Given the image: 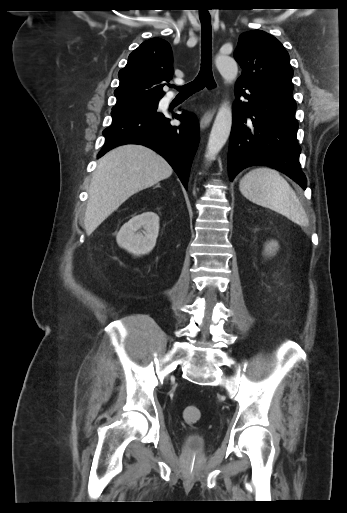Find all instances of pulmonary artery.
<instances>
[{
	"mask_svg": "<svg viewBox=\"0 0 347 513\" xmlns=\"http://www.w3.org/2000/svg\"><path fill=\"white\" fill-rule=\"evenodd\" d=\"M174 97L173 93H169L166 97V100H171Z\"/></svg>",
	"mask_w": 347,
	"mask_h": 513,
	"instance_id": "obj_1",
	"label": "pulmonary artery"
}]
</instances>
